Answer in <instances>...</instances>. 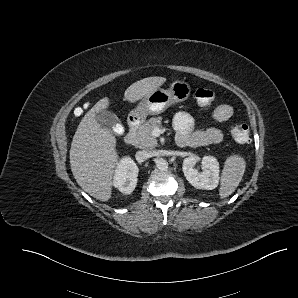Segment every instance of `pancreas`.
<instances>
[{
	"label": "pancreas",
	"instance_id": "1",
	"mask_svg": "<svg viewBox=\"0 0 298 298\" xmlns=\"http://www.w3.org/2000/svg\"><path fill=\"white\" fill-rule=\"evenodd\" d=\"M161 121L162 118L157 116L155 118H149L145 123L141 124L136 132L134 145L141 149L158 146V140L152 135V131L154 127L161 125Z\"/></svg>",
	"mask_w": 298,
	"mask_h": 298
}]
</instances>
